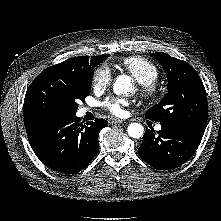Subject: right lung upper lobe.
Wrapping results in <instances>:
<instances>
[{
  "label": "right lung upper lobe",
  "instance_id": "right-lung-upper-lobe-1",
  "mask_svg": "<svg viewBox=\"0 0 221 221\" xmlns=\"http://www.w3.org/2000/svg\"><path fill=\"white\" fill-rule=\"evenodd\" d=\"M96 57L97 56H92L91 58L89 56L75 57L59 63L57 66L72 72H85L92 67Z\"/></svg>",
  "mask_w": 221,
  "mask_h": 221
}]
</instances>
